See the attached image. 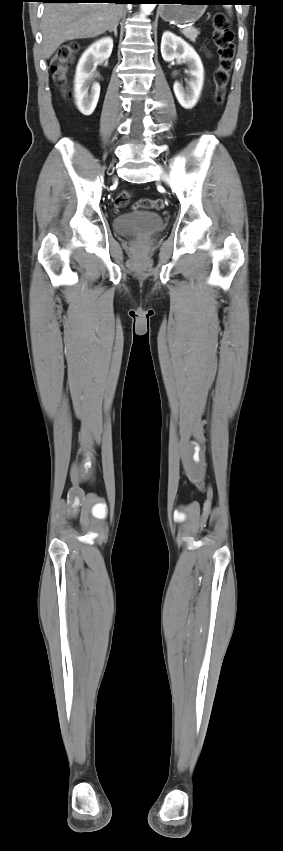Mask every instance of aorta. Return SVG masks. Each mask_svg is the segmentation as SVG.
<instances>
[{"label": "aorta", "instance_id": "obj_1", "mask_svg": "<svg viewBox=\"0 0 283 851\" xmlns=\"http://www.w3.org/2000/svg\"><path fill=\"white\" fill-rule=\"evenodd\" d=\"M154 7H155V4H145V3L142 4V10L146 14L150 13L154 9Z\"/></svg>", "mask_w": 283, "mask_h": 851}]
</instances>
